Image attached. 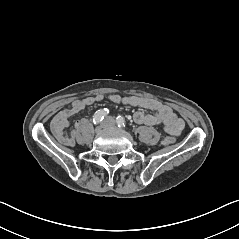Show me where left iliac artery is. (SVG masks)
<instances>
[{
  "label": "left iliac artery",
  "instance_id": "44dca946",
  "mask_svg": "<svg viewBox=\"0 0 239 239\" xmlns=\"http://www.w3.org/2000/svg\"><path fill=\"white\" fill-rule=\"evenodd\" d=\"M116 122H117L119 127H125L126 126L125 119L122 116H118L116 118Z\"/></svg>",
  "mask_w": 239,
  "mask_h": 239
}]
</instances>
